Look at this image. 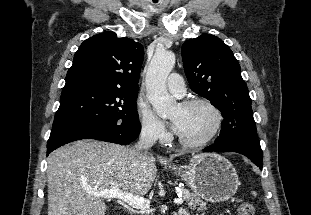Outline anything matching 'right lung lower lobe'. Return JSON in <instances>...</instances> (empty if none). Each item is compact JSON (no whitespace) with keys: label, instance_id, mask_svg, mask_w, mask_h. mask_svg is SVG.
Wrapping results in <instances>:
<instances>
[{"label":"right lung lower lobe","instance_id":"obj_1","mask_svg":"<svg viewBox=\"0 0 311 215\" xmlns=\"http://www.w3.org/2000/svg\"><path fill=\"white\" fill-rule=\"evenodd\" d=\"M141 130L138 122L130 126L73 123L54 127L47 143V156L58 147L81 139H96L117 144H129Z\"/></svg>","mask_w":311,"mask_h":215}]
</instances>
